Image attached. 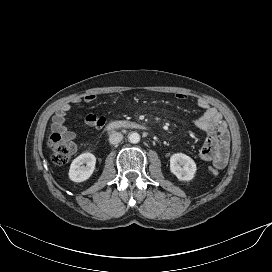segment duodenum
Wrapping results in <instances>:
<instances>
[{
    "label": "duodenum",
    "mask_w": 272,
    "mask_h": 272,
    "mask_svg": "<svg viewBox=\"0 0 272 272\" xmlns=\"http://www.w3.org/2000/svg\"><path fill=\"white\" fill-rule=\"evenodd\" d=\"M122 128H127V129H144V125L137 123V122H132V121H125V120H115L111 121L107 125V130L108 131H114L117 129H122Z\"/></svg>",
    "instance_id": "obj_1"
}]
</instances>
